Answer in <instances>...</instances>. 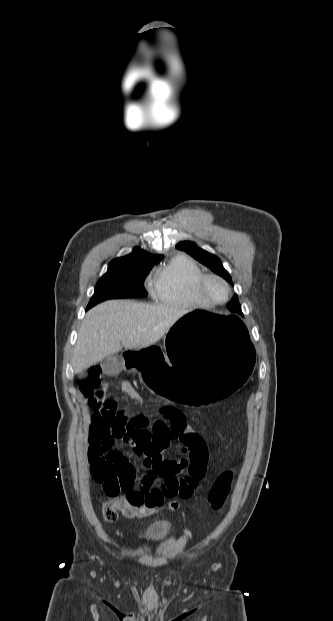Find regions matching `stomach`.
<instances>
[{
  "label": "stomach",
  "instance_id": "stomach-1",
  "mask_svg": "<svg viewBox=\"0 0 333 621\" xmlns=\"http://www.w3.org/2000/svg\"><path fill=\"white\" fill-rule=\"evenodd\" d=\"M144 389L179 410L213 409L245 389L256 361L255 343L237 316L195 310L181 314L163 340L123 352Z\"/></svg>",
  "mask_w": 333,
  "mask_h": 621
}]
</instances>
